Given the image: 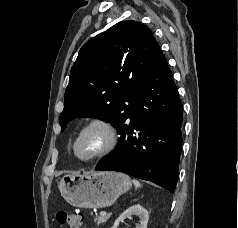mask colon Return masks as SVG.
<instances>
[{
  "mask_svg": "<svg viewBox=\"0 0 238 228\" xmlns=\"http://www.w3.org/2000/svg\"><path fill=\"white\" fill-rule=\"evenodd\" d=\"M57 220L67 228H85L84 217L78 212L60 211L57 214Z\"/></svg>",
  "mask_w": 238,
  "mask_h": 228,
  "instance_id": "5ec220e1",
  "label": "colon"
}]
</instances>
